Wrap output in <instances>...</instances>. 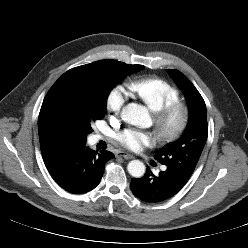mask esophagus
<instances>
[{"mask_svg":"<svg viewBox=\"0 0 248 248\" xmlns=\"http://www.w3.org/2000/svg\"><path fill=\"white\" fill-rule=\"evenodd\" d=\"M116 157H122L126 160H130V159H133V155L129 154V153H126V152H123V151H120L118 153H116Z\"/></svg>","mask_w":248,"mask_h":248,"instance_id":"1","label":"esophagus"}]
</instances>
